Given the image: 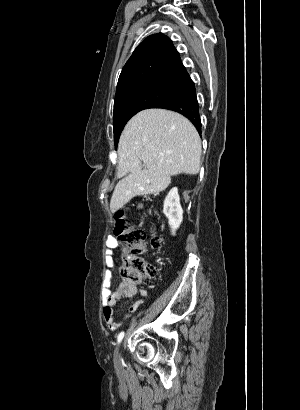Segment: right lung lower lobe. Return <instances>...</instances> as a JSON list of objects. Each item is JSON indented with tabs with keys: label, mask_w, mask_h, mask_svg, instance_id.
<instances>
[{
	"label": "right lung lower lobe",
	"mask_w": 300,
	"mask_h": 410,
	"mask_svg": "<svg viewBox=\"0 0 300 410\" xmlns=\"http://www.w3.org/2000/svg\"><path fill=\"white\" fill-rule=\"evenodd\" d=\"M160 108L176 111L186 116L201 133V121L199 115V104L193 81H190L185 90L169 103Z\"/></svg>",
	"instance_id": "right-lung-lower-lobe-1"
}]
</instances>
